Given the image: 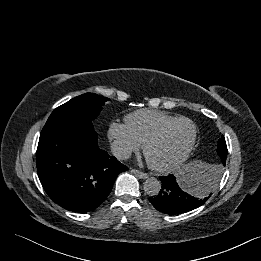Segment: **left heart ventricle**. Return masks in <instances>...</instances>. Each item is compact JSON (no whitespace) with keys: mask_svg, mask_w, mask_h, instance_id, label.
<instances>
[{"mask_svg":"<svg viewBox=\"0 0 261 261\" xmlns=\"http://www.w3.org/2000/svg\"><path fill=\"white\" fill-rule=\"evenodd\" d=\"M192 133L193 128L188 122L174 124L159 141L150 147L149 160L157 165H166L176 161L187 148Z\"/></svg>","mask_w":261,"mask_h":261,"instance_id":"b2bd125f","label":"left heart ventricle"}]
</instances>
